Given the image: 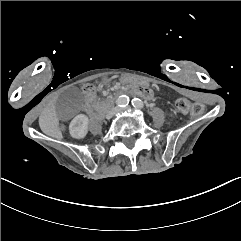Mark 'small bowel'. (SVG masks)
<instances>
[{"label": "small bowel", "mask_w": 241, "mask_h": 241, "mask_svg": "<svg viewBox=\"0 0 241 241\" xmlns=\"http://www.w3.org/2000/svg\"><path fill=\"white\" fill-rule=\"evenodd\" d=\"M83 93L85 96L86 104V111L89 113L94 104L96 103L95 100L97 98L96 88L91 85H84L83 86Z\"/></svg>", "instance_id": "1"}]
</instances>
